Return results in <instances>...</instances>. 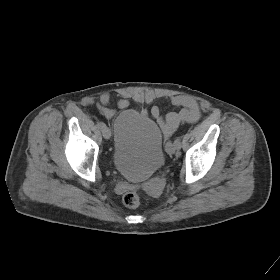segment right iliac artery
<instances>
[{"mask_svg":"<svg viewBox=\"0 0 280 280\" xmlns=\"http://www.w3.org/2000/svg\"><path fill=\"white\" fill-rule=\"evenodd\" d=\"M97 127L100 128V129H102V128L105 127V124H104L103 122H101V121H98V122H97Z\"/></svg>","mask_w":280,"mask_h":280,"instance_id":"obj_1","label":"right iliac artery"}]
</instances>
